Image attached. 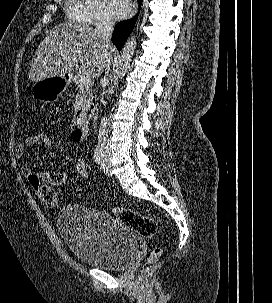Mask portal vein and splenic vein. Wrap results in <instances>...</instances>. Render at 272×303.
<instances>
[{"mask_svg": "<svg viewBox=\"0 0 272 303\" xmlns=\"http://www.w3.org/2000/svg\"><path fill=\"white\" fill-rule=\"evenodd\" d=\"M79 82L83 85H90L91 84V77L88 75H81L79 78Z\"/></svg>", "mask_w": 272, "mask_h": 303, "instance_id": "1", "label": "portal vein and splenic vein"}]
</instances>
